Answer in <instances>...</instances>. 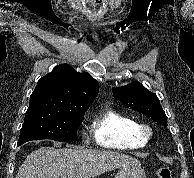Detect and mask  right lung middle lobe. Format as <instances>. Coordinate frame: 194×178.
<instances>
[{"mask_svg": "<svg viewBox=\"0 0 194 178\" xmlns=\"http://www.w3.org/2000/svg\"><path fill=\"white\" fill-rule=\"evenodd\" d=\"M85 111L70 110L49 101H30L18 143L52 139L74 141Z\"/></svg>", "mask_w": 194, "mask_h": 178, "instance_id": "obj_1", "label": "right lung middle lobe"}]
</instances>
